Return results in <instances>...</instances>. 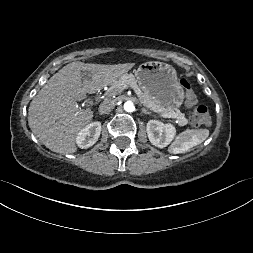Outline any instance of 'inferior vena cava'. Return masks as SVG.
Listing matches in <instances>:
<instances>
[{
  "mask_svg": "<svg viewBox=\"0 0 253 253\" xmlns=\"http://www.w3.org/2000/svg\"><path fill=\"white\" fill-rule=\"evenodd\" d=\"M116 101L115 100H105L99 106L100 114H108L114 107Z\"/></svg>",
  "mask_w": 253,
  "mask_h": 253,
  "instance_id": "1",
  "label": "inferior vena cava"
}]
</instances>
